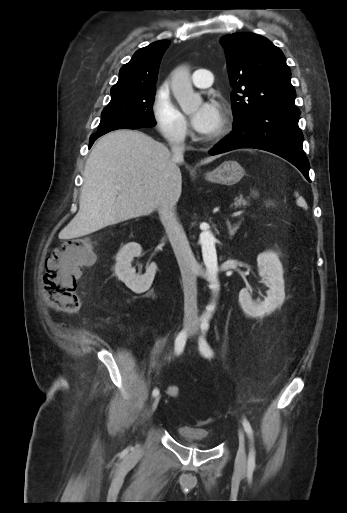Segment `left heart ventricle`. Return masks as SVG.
<instances>
[{"label":"left heart ventricle","instance_id":"left-heart-ventricle-1","mask_svg":"<svg viewBox=\"0 0 347 513\" xmlns=\"http://www.w3.org/2000/svg\"><path fill=\"white\" fill-rule=\"evenodd\" d=\"M220 125H221V124H220ZM220 125H219V126H218V128H216L213 132H211V133L207 134L206 136H211V135H213V134H214V133L219 129Z\"/></svg>","mask_w":347,"mask_h":513}]
</instances>
